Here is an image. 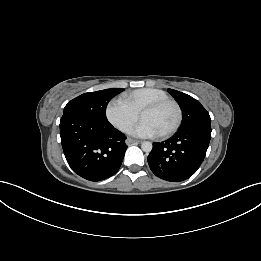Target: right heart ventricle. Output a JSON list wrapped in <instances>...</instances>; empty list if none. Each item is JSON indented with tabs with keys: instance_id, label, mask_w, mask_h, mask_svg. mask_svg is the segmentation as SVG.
<instances>
[{
	"instance_id": "1",
	"label": "right heart ventricle",
	"mask_w": 261,
	"mask_h": 261,
	"mask_svg": "<svg viewBox=\"0 0 261 261\" xmlns=\"http://www.w3.org/2000/svg\"><path fill=\"white\" fill-rule=\"evenodd\" d=\"M138 113L149 103L168 99L166 92L156 88L134 90L123 97Z\"/></svg>"
}]
</instances>
